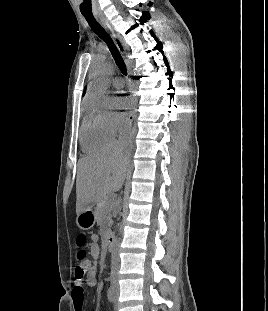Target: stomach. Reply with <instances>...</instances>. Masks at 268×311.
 <instances>
[{
  "label": "stomach",
  "instance_id": "1",
  "mask_svg": "<svg viewBox=\"0 0 268 311\" xmlns=\"http://www.w3.org/2000/svg\"><path fill=\"white\" fill-rule=\"evenodd\" d=\"M95 221V212L92 210L91 206L80 212L76 218V224L82 230L91 229L94 226Z\"/></svg>",
  "mask_w": 268,
  "mask_h": 311
}]
</instances>
